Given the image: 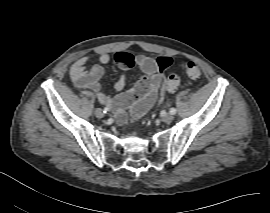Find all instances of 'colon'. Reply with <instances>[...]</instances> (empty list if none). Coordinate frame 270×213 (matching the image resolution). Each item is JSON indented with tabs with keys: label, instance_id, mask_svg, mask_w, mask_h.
<instances>
[{
	"label": "colon",
	"instance_id": "1",
	"mask_svg": "<svg viewBox=\"0 0 270 213\" xmlns=\"http://www.w3.org/2000/svg\"><path fill=\"white\" fill-rule=\"evenodd\" d=\"M118 56H123L126 58L129 64L133 63V59L125 53H118ZM183 69L185 70L186 74L192 79H198L201 76V69L200 67L193 61H186L182 64ZM180 83V78L178 75L173 74L169 76L165 82V85L162 89V94L167 91H175ZM139 98V94L137 90L131 91L126 95V99L129 102H136Z\"/></svg>",
	"mask_w": 270,
	"mask_h": 213
}]
</instances>
